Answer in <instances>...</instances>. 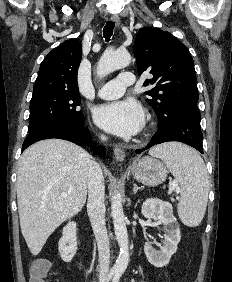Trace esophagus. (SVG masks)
<instances>
[{
	"label": "esophagus",
	"instance_id": "esophagus-1",
	"mask_svg": "<svg viewBox=\"0 0 232 282\" xmlns=\"http://www.w3.org/2000/svg\"><path fill=\"white\" fill-rule=\"evenodd\" d=\"M111 21H113L117 26L120 25V18L118 15L113 14L111 15ZM114 155L117 161H123L125 159V152L119 148V147H115L114 150Z\"/></svg>",
	"mask_w": 232,
	"mask_h": 282
}]
</instances>
